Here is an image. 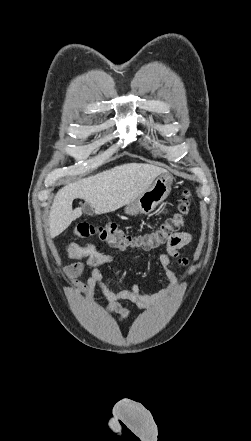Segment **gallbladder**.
<instances>
[{
  "label": "gallbladder",
  "mask_w": 251,
  "mask_h": 441,
  "mask_svg": "<svg viewBox=\"0 0 251 441\" xmlns=\"http://www.w3.org/2000/svg\"><path fill=\"white\" fill-rule=\"evenodd\" d=\"M81 210L83 211L84 214H87V215H91L93 213V209L90 206V204H88V203L83 204L81 206Z\"/></svg>",
  "instance_id": "obj_1"
}]
</instances>
